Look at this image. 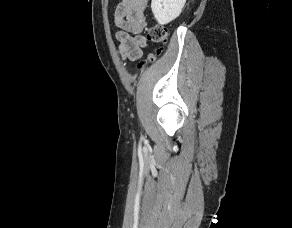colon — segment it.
I'll list each match as a JSON object with an SVG mask.
<instances>
[{
	"label": "colon",
	"instance_id": "colon-1",
	"mask_svg": "<svg viewBox=\"0 0 292 228\" xmlns=\"http://www.w3.org/2000/svg\"><path fill=\"white\" fill-rule=\"evenodd\" d=\"M147 39L155 44L161 45L155 52L151 53L144 61L139 64V68H142L149 63L153 62L157 56H159L163 51V45L166 44L168 39V30L161 25H155L148 29Z\"/></svg>",
	"mask_w": 292,
	"mask_h": 228
}]
</instances>
